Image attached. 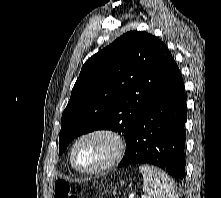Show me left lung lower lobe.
Returning a JSON list of instances; mask_svg holds the SVG:
<instances>
[{"label": "left lung lower lobe", "mask_w": 221, "mask_h": 198, "mask_svg": "<svg viewBox=\"0 0 221 198\" xmlns=\"http://www.w3.org/2000/svg\"><path fill=\"white\" fill-rule=\"evenodd\" d=\"M186 94L181 72L173 62L159 91L142 112L119 166L148 163L159 166L176 180L185 174Z\"/></svg>", "instance_id": "left-lung-lower-lobe-1"}]
</instances>
